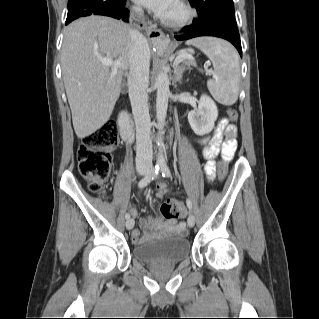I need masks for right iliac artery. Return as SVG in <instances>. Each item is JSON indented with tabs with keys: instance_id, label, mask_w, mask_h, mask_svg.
I'll use <instances>...</instances> for the list:
<instances>
[{
	"instance_id": "obj_1",
	"label": "right iliac artery",
	"mask_w": 319,
	"mask_h": 319,
	"mask_svg": "<svg viewBox=\"0 0 319 319\" xmlns=\"http://www.w3.org/2000/svg\"><path fill=\"white\" fill-rule=\"evenodd\" d=\"M159 170H160V166H159V165H156V166L153 168V170H152L147 176H145L144 178H142V179L139 181L138 187L141 188V189L144 188V187H146V186L154 179V177L158 174ZM125 218H126V219H129V218H130V214L127 213V214L125 215Z\"/></svg>"
}]
</instances>
